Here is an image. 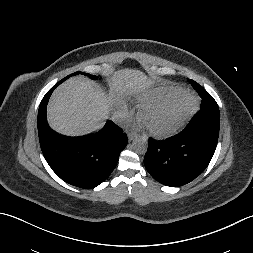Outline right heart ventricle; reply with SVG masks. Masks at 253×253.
<instances>
[{"mask_svg": "<svg viewBox=\"0 0 253 253\" xmlns=\"http://www.w3.org/2000/svg\"><path fill=\"white\" fill-rule=\"evenodd\" d=\"M178 86H161L137 96L136 100L140 106L163 100L179 91Z\"/></svg>", "mask_w": 253, "mask_h": 253, "instance_id": "obj_1", "label": "right heart ventricle"}]
</instances>
